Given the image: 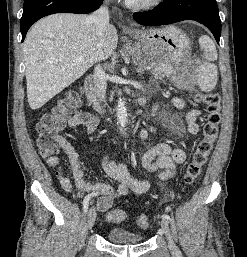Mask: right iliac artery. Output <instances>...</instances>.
I'll list each match as a JSON object with an SVG mask.
<instances>
[{"label": "right iliac artery", "instance_id": "obj_1", "mask_svg": "<svg viewBox=\"0 0 247 257\" xmlns=\"http://www.w3.org/2000/svg\"><path fill=\"white\" fill-rule=\"evenodd\" d=\"M93 195H87L85 198H84V201H83V208H84V212L87 213L88 211V206H89V201L91 199Z\"/></svg>", "mask_w": 247, "mask_h": 257}]
</instances>
